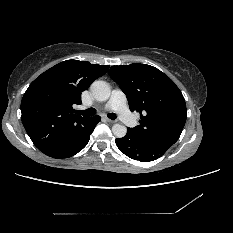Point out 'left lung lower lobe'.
I'll list each match as a JSON object with an SVG mask.
<instances>
[{"instance_id": "left-lung-lower-lobe-1", "label": "left lung lower lobe", "mask_w": 233, "mask_h": 233, "mask_svg": "<svg viewBox=\"0 0 233 233\" xmlns=\"http://www.w3.org/2000/svg\"><path fill=\"white\" fill-rule=\"evenodd\" d=\"M117 147L128 157L141 162L153 161L161 157L168 149L148 144L127 130L123 138L115 140Z\"/></svg>"}]
</instances>
